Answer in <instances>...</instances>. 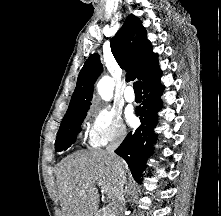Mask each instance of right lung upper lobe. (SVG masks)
<instances>
[{"label":"right lung upper lobe","mask_w":221,"mask_h":216,"mask_svg":"<svg viewBox=\"0 0 221 216\" xmlns=\"http://www.w3.org/2000/svg\"><path fill=\"white\" fill-rule=\"evenodd\" d=\"M110 44L117 63L127 71V81L138 78L144 85L161 72L157 54L153 52L146 30L138 17L129 15ZM101 72L99 56L91 55L79 73L76 88L64 117L89 109L93 86Z\"/></svg>","instance_id":"right-lung-upper-lobe-1"}]
</instances>
